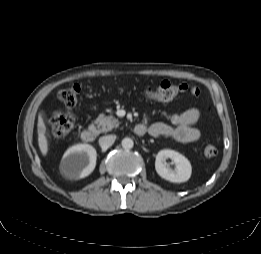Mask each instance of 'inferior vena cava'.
I'll list each match as a JSON object with an SVG mask.
<instances>
[{"mask_svg": "<svg viewBox=\"0 0 261 254\" xmlns=\"http://www.w3.org/2000/svg\"><path fill=\"white\" fill-rule=\"evenodd\" d=\"M116 139L115 135L102 136L99 139V145L102 149H108L114 143Z\"/></svg>", "mask_w": 261, "mask_h": 254, "instance_id": "obj_1", "label": "inferior vena cava"}]
</instances>
